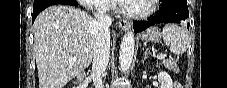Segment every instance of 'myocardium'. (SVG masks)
Returning a JSON list of instances; mask_svg holds the SVG:
<instances>
[{
    "instance_id": "f54148a6",
    "label": "myocardium",
    "mask_w": 227,
    "mask_h": 88,
    "mask_svg": "<svg viewBox=\"0 0 227 88\" xmlns=\"http://www.w3.org/2000/svg\"><path fill=\"white\" fill-rule=\"evenodd\" d=\"M157 2L158 0H149V9L143 12L130 11L125 9L124 5L119 4L118 12L131 19H144L151 16L155 12Z\"/></svg>"
}]
</instances>
